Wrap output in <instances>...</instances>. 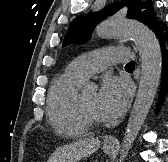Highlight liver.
Segmentation results:
<instances>
[{
	"label": "liver",
	"mask_w": 168,
	"mask_h": 162,
	"mask_svg": "<svg viewBox=\"0 0 168 162\" xmlns=\"http://www.w3.org/2000/svg\"><path fill=\"white\" fill-rule=\"evenodd\" d=\"M98 138H84L59 147L47 162H76L96 152L100 147Z\"/></svg>",
	"instance_id": "6515ba94"
}]
</instances>
